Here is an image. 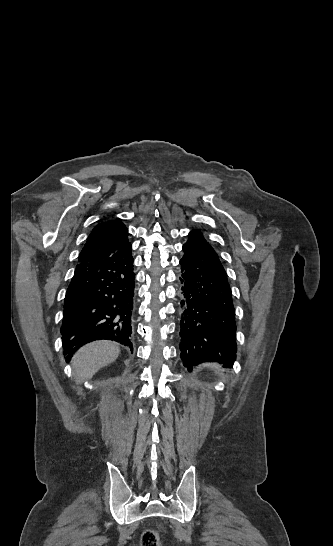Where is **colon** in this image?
<instances>
[{
	"label": "colon",
	"mask_w": 333,
	"mask_h": 546,
	"mask_svg": "<svg viewBox=\"0 0 333 546\" xmlns=\"http://www.w3.org/2000/svg\"><path fill=\"white\" fill-rule=\"evenodd\" d=\"M142 546H159L157 534L152 530H147L142 535Z\"/></svg>",
	"instance_id": "5ec220e1"
}]
</instances>
